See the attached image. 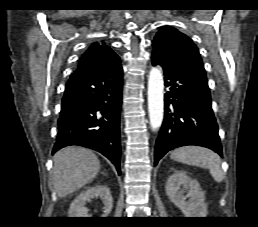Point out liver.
<instances>
[{"mask_svg":"<svg viewBox=\"0 0 258 227\" xmlns=\"http://www.w3.org/2000/svg\"><path fill=\"white\" fill-rule=\"evenodd\" d=\"M53 161V186L60 198L85 186L100 170L97 156L81 147L64 148L54 155Z\"/></svg>","mask_w":258,"mask_h":227,"instance_id":"obj_1","label":"liver"}]
</instances>
